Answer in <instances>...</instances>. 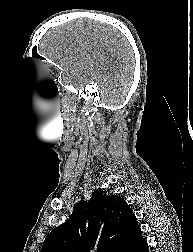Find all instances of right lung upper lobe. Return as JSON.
<instances>
[{
    "label": "right lung upper lobe",
    "instance_id": "right-lung-upper-lobe-1",
    "mask_svg": "<svg viewBox=\"0 0 193 252\" xmlns=\"http://www.w3.org/2000/svg\"><path fill=\"white\" fill-rule=\"evenodd\" d=\"M139 230L123 198L95 191L47 235L41 252H120Z\"/></svg>",
    "mask_w": 193,
    "mask_h": 252
}]
</instances>
